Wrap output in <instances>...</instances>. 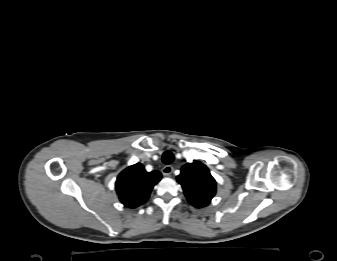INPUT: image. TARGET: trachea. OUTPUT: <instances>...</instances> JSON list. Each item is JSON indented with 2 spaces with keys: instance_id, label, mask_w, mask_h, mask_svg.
I'll return each mask as SVG.
<instances>
[{
  "instance_id": "trachea-1",
  "label": "trachea",
  "mask_w": 337,
  "mask_h": 261,
  "mask_svg": "<svg viewBox=\"0 0 337 261\" xmlns=\"http://www.w3.org/2000/svg\"><path fill=\"white\" fill-rule=\"evenodd\" d=\"M162 161L164 164H171L174 161V155L171 151H165L162 155Z\"/></svg>"
}]
</instances>
